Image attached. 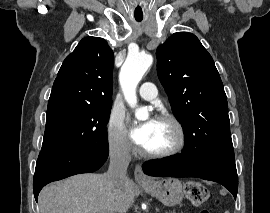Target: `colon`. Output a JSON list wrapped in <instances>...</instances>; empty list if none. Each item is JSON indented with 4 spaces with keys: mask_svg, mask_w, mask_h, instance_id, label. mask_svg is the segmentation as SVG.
<instances>
[{
    "mask_svg": "<svg viewBox=\"0 0 270 213\" xmlns=\"http://www.w3.org/2000/svg\"><path fill=\"white\" fill-rule=\"evenodd\" d=\"M184 193L187 199L194 205L199 206L208 197L207 188L198 181H189L184 185ZM218 203V201H216ZM200 213H211L208 209H203Z\"/></svg>",
    "mask_w": 270,
    "mask_h": 213,
    "instance_id": "5ec220e1",
    "label": "colon"
}]
</instances>
